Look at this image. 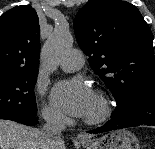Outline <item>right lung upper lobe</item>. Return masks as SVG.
Returning <instances> with one entry per match:
<instances>
[{"instance_id":"cb5924a9","label":"right lung upper lobe","mask_w":155,"mask_h":149,"mask_svg":"<svg viewBox=\"0 0 155 149\" xmlns=\"http://www.w3.org/2000/svg\"><path fill=\"white\" fill-rule=\"evenodd\" d=\"M40 29L30 5L16 6L0 16V70L38 71Z\"/></svg>"}]
</instances>
